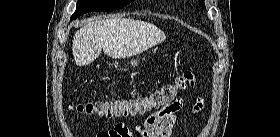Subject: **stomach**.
Here are the masks:
<instances>
[{
    "instance_id": "obj_1",
    "label": "stomach",
    "mask_w": 280,
    "mask_h": 137,
    "mask_svg": "<svg viewBox=\"0 0 280 137\" xmlns=\"http://www.w3.org/2000/svg\"><path fill=\"white\" fill-rule=\"evenodd\" d=\"M130 64H131L133 67H135V66H138L139 61H138L137 59L131 60V61H130Z\"/></svg>"
}]
</instances>
